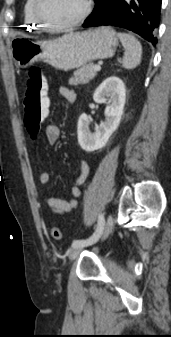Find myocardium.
<instances>
[{
	"label": "myocardium",
	"mask_w": 171,
	"mask_h": 337,
	"mask_svg": "<svg viewBox=\"0 0 171 337\" xmlns=\"http://www.w3.org/2000/svg\"><path fill=\"white\" fill-rule=\"evenodd\" d=\"M44 0H35L34 13L37 21L43 26L44 29L52 32L65 31L74 28L84 22L91 13L92 2L91 0H84V9L82 13L74 20L64 24H53L48 21L42 12V4Z\"/></svg>",
	"instance_id": "1"
}]
</instances>
